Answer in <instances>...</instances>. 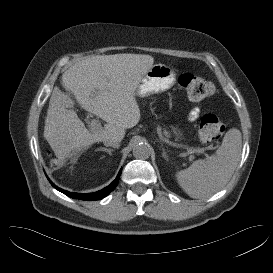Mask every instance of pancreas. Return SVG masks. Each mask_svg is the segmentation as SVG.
Masks as SVG:
<instances>
[{"instance_id": "obj_1", "label": "pancreas", "mask_w": 273, "mask_h": 273, "mask_svg": "<svg viewBox=\"0 0 273 273\" xmlns=\"http://www.w3.org/2000/svg\"><path fill=\"white\" fill-rule=\"evenodd\" d=\"M157 131L160 133V134H163L165 137H169L170 136V133H169V131H167L166 129H164L163 131H162V129H161V127H158L157 128Z\"/></svg>"}]
</instances>
